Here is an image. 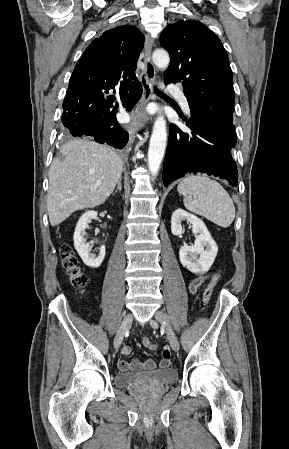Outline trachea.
Returning a JSON list of instances; mask_svg holds the SVG:
<instances>
[{"label":"trachea","mask_w":289,"mask_h":449,"mask_svg":"<svg viewBox=\"0 0 289 449\" xmlns=\"http://www.w3.org/2000/svg\"><path fill=\"white\" fill-rule=\"evenodd\" d=\"M156 92L161 93V91H159L158 89H155Z\"/></svg>","instance_id":"3493384b"}]
</instances>
